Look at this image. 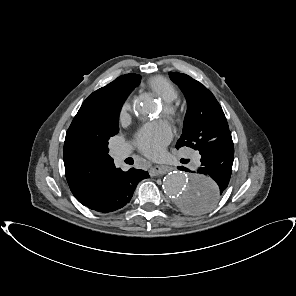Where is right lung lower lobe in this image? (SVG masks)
<instances>
[{
	"instance_id": "1",
	"label": "right lung lower lobe",
	"mask_w": 296,
	"mask_h": 296,
	"mask_svg": "<svg viewBox=\"0 0 296 296\" xmlns=\"http://www.w3.org/2000/svg\"><path fill=\"white\" fill-rule=\"evenodd\" d=\"M146 178H149V174L143 170L132 168L123 172L117 169L100 180L84 198L78 201L101 213L119 210L130 202L138 182Z\"/></svg>"
}]
</instances>
